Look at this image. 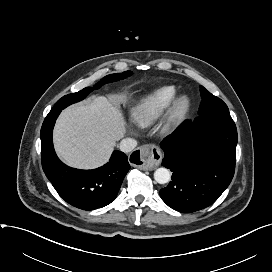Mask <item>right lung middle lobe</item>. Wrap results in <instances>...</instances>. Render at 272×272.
<instances>
[{
	"label": "right lung middle lobe",
	"mask_w": 272,
	"mask_h": 272,
	"mask_svg": "<svg viewBox=\"0 0 272 272\" xmlns=\"http://www.w3.org/2000/svg\"><path fill=\"white\" fill-rule=\"evenodd\" d=\"M130 75H132L131 71H125L122 74L116 73V74L107 75L104 78H102L97 84H95L94 87H86L79 92L68 94V95L62 97L54 105V107L52 108L51 111H55L58 109H64L67 106H69L75 102L83 100L90 92H92L95 89H99L104 84L109 83V82H113V81H118L120 79H124Z\"/></svg>",
	"instance_id": "obj_1"
}]
</instances>
